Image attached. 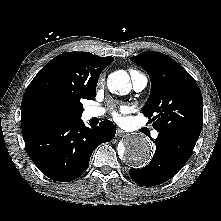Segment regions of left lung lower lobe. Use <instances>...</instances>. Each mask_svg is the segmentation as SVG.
<instances>
[{
	"label": "left lung lower lobe",
	"mask_w": 221,
	"mask_h": 221,
	"mask_svg": "<svg viewBox=\"0 0 221 221\" xmlns=\"http://www.w3.org/2000/svg\"><path fill=\"white\" fill-rule=\"evenodd\" d=\"M156 151L141 169H130L131 179L142 186H155L172 178L189 159L196 142L171 133H159L153 140Z\"/></svg>",
	"instance_id": "obj_1"
}]
</instances>
